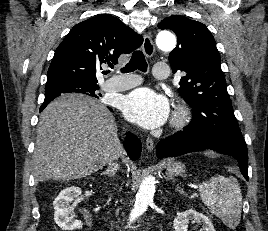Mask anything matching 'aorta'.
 Returning a JSON list of instances; mask_svg holds the SVG:
<instances>
[{"label": "aorta", "instance_id": "762f6f07", "mask_svg": "<svg viewBox=\"0 0 268 231\" xmlns=\"http://www.w3.org/2000/svg\"><path fill=\"white\" fill-rule=\"evenodd\" d=\"M158 47L163 51H170L176 46V38L169 32H160L156 39ZM155 193V178L146 176L136 194V201L131 210L129 222L132 223L141 216L147 209L148 204L153 201Z\"/></svg>", "mask_w": 268, "mask_h": 231}]
</instances>
